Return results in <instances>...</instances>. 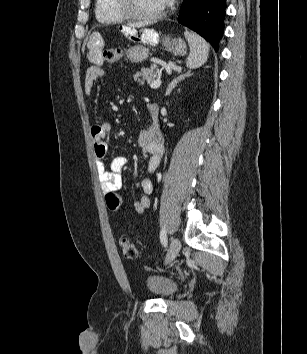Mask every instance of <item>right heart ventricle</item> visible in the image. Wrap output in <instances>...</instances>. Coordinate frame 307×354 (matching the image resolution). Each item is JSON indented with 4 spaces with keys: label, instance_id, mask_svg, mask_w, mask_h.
<instances>
[{
    "label": "right heart ventricle",
    "instance_id": "right-heart-ventricle-1",
    "mask_svg": "<svg viewBox=\"0 0 307 354\" xmlns=\"http://www.w3.org/2000/svg\"><path fill=\"white\" fill-rule=\"evenodd\" d=\"M95 16L97 21L103 24H114L125 20V18L115 10L113 0H96Z\"/></svg>",
    "mask_w": 307,
    "mask_h": 354
}]
</instances>
